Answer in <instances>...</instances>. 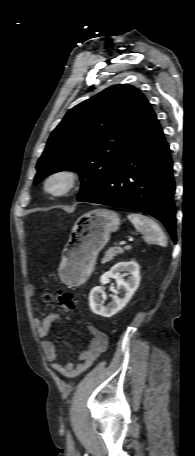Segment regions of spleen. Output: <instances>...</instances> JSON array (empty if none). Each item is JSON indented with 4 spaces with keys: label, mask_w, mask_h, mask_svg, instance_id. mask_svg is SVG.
I'll use <instances>...</instances> for the list:
<instances>
[{
    "label": "spleen",
    "mask_w": 195,
    "mask_h": 456,
    "mask_svg": "<svg viewBox=\"0 0 195 456\" xmlns=\"http://www.w3.org/2000/svg\"><path fill=\"white\" fill-rule=\"evenodd\" d=\"M128 219L147 241L158 243L161 246L167 245L166 235L156 221L138 213L129 214Z\"/></svg>",
    "instance_id": "obj_1"
}]
</instances>
